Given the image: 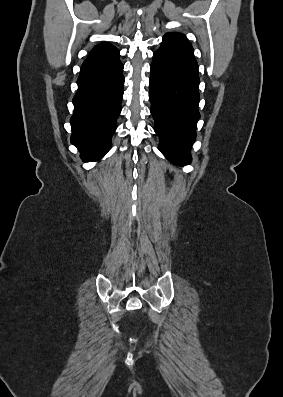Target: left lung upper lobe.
<instances>
[{"label":"left lung upper lobe","instance_id":"left-lung-upper-lobe-1","mask_svg":"<svg viewBox=\"0 0 283 397\" xmlns=\"http://www.w3.org/2000/svg\"><path fill=\"white\" fill-rule=\"evenodd\" d=\"M162 44H165L174 50H176L178 53L182 54L189 60L196 62V59L194 58V50L185 37V35L181 33H166L163 36V42Z\"/></svg>","mask_w":283,"mask_h":397}]
</instances>
